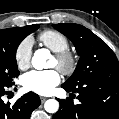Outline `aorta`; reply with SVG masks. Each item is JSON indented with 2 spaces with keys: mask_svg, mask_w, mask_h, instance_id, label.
<instances>
[{
  "mask_svg": "<svg viewBox=\"0 0 119 119\" xmlns=\"http://www.w3.org/2000/svg\"><path fill=\"white\" fill-rule=\"evenodd\" d=\"M50 58V52L47 49H38L32 57V65L37 70L47 68V60ZM44 108L48 113H56L59 109V103L55 99H49L45 102Z\"/></svg>",
  "mask_w": 119,
  "mask_h": 119,
  "instance_id": "762f6f07",
  "label": "aorta"
}]
</instances>
